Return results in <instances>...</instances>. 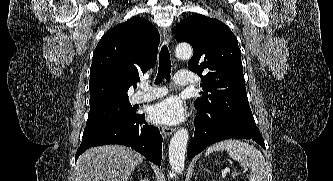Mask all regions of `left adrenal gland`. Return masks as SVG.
<instances>
[{
	"label": "left adrenal gland",
	"mask_w": 333,
	"mask_h": 181,
	"mask_svg": "<svg viewBox=\"0 0 333 181\" xmlns=\"http://www.w3.org/2000/svg\"><path fill=\"white\" fill-rule=\"evenodd\" d=\"M200 170H206L207 172H209V170L205 169L203 166L201 167Z\"/></svg>",
	"instance_id": "left-adrenal-gland-1"
}]
</instances>
